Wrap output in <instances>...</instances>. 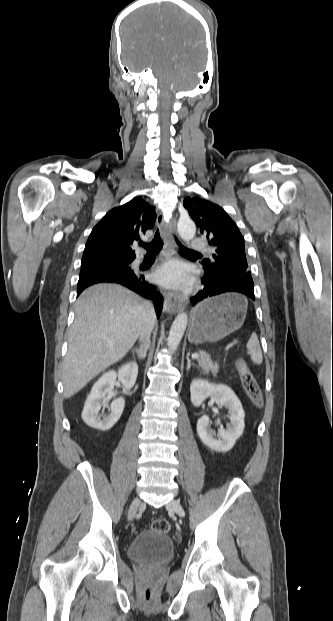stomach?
Here are the masks:
<instances>
[{
    "label": "stomach",
    "instance_id": "0dacf381",
    "mask_svg": "<svg viewBox=\"0 0 333 621\" xmlns=\"http://www.w3.org/2000/svg\"><path fill=\"white\" fill-rule=\"evenodd\" d=\"M246 308L245 301L235 293L204 300L193 311L189 341L195 344L220 341L242 326Z\"/></svg>",
    "mask_w": 333,
    "mask_h": 621
}]
</instances>
